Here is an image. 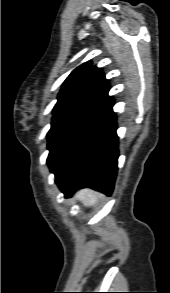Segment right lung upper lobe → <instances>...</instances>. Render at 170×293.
Wrapping results in <instances>:
<instances>
[{
	"instance_id": "right-lung-upper-lobe-1",
	"label": "right lung upper lobe",
	"mask_w": 170,
	"mask_h": 293,
	"mask_svg": "<svg viewBox=\"0 0 170 293\" xmlns=\"http://www.w3.org/2000/svg\"><path fill=\"white\" fill-rule=\"evenodd\" d=\"M108 91L109 83L103 72L86 62L72 71L63 83L53 114L78 107L112 109L114 101Z\"/></svg>"
}]
</instances>
